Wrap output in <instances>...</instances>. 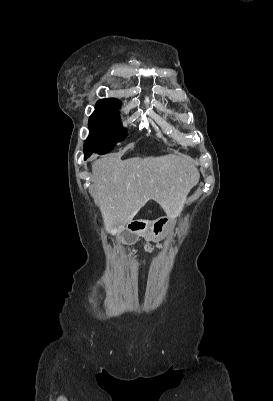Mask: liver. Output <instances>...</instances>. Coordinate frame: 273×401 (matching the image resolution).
<instances>
[{
	"instance_id": "obj_1",
	"label": "liver",
	"mask_w": 273,
	"mask_h": 401,
	"mask_svg": "<svg viewBox=\"0 0 273 401\" xmlns=\"http://www.w3.org/2000/svg\"><path fill=\"white\" fill-rule=\"evenodd\" d=\"M91 194L100 207L105 231H124L138 211L153 198L167 217L181 215L187 194L199 182L200 172L190 156H102L92 162Z\"/></svg>"
}]
</instances>
